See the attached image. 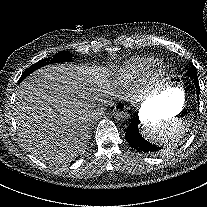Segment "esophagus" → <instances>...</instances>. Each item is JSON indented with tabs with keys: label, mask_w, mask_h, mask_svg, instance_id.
<instances>
[{
	"label": "esophagus",
	"mask_w": 207,
	"mask_h": 207,
	"mask_svg": "<svg viewBox=\"0 0 207 207\" xmlns=\"http://www.w3.org/2000/svg\"><path fill=\"white\" fill-rule=\"evenodd\" d=\"M117 108H122V109H125L126 108V106H125V104L122 102V101H117L116 102V104H115V110L117 111L118 109Z\"/></svg>",
	"instance_id": "esophagus-1"
}]
</instances>
